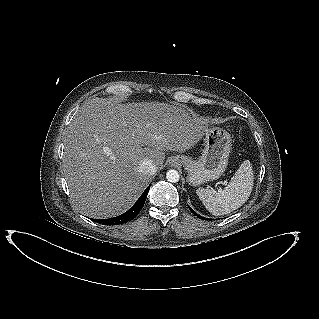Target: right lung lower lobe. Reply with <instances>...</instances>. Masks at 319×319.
I'll return each mask as SVG.
<instances>
[{
    "label": "right lung lower lobe",
    "instance_id": "obj_1",
    "mask_svg": "<svg viewBox=\"0 0 319 319\" xmlns=\"http://www.w3.org/2000/svg\"><path fill=\"white\" fill-rule=\"evenodd\" d=\"M150 186L147 187V189L143 192V194L139 197L137 202L124 214L119 215L114 218H109V219H99L96 220L98 223L103 224V225H119L122 223H126L132 219H134L138 213L141 211L145 200L147 198V194L149 192Z\"/></svg>",
    "mask_w": 319,
    "mask_h": 319
}]
</instances>
